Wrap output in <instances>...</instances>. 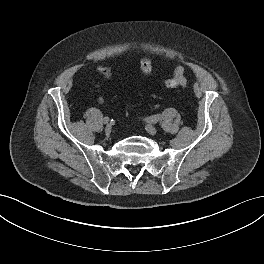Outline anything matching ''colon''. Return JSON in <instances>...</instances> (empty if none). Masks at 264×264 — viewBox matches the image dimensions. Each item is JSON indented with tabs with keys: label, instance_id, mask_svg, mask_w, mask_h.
Returning <instances> with one entry per match:
<instances>
[{
	"label": "colon",
	"instance_id": "colon-1",
	"mask_svg": "<svg viewBox=\"0 0 264 264\" xmlns=\"http://www.w3.org/2000/svg\"><path fill=\"white\" fill-rule=\"evenodd\" d=\"M152 69L153 65L151 60L147 58L141 60L140 70L142 73L149 75L151 74ZM98 72L105 78H110L111 76V70L108 67L100 66L98 67ZM163 84L165 87L171 89L186 86L187 80L185 77V70L182 67L177 68L175 74L172 77L165 79Z\"/></svg>",
	"mask_w": 264,
	"mask_h": 264
}]
</instances>
